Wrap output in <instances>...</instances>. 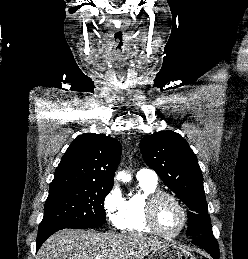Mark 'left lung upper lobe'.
Here are the masks:
<instances>
[{"mask_svg":"<svg viewBox=\"0 0 248 259\" xmlns=\"http://www.w3.org/2000/svg\"><path fill=\"white\" fill-rule=\"evenodd\" d=\"M140 149L146 164L189 209L187 236H212L202 172L186 140L171 130L160 131L145 136Z\"/></svg>","mask_w":248,"mask_h":259,"instance_id":"1","label":"left lung upper lobe"}]
</instances>
